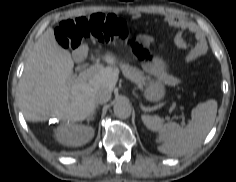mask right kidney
<instances>
[{"instance_id":"obj_1","label":"right kidney","mask_w":236,"mask_h":182,"mask_svg":"<svg viewBox=\"0 0 236 182\" xmlns=\"http://www.w3.org/2000/svg\"><path fill=\"white\" fill-rule=\"evenodd\" d=\"M56 140L67 146H81L94 136V129L79 124H64L56 129Z\"/></svg>"}]
</instances>
